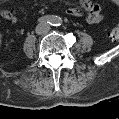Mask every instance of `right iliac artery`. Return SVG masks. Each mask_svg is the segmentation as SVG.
<instances>
[{
    "label": "right iliac artery",
    "instance_id": "right-iliac-artery-1",
    "mask_svg": "<svg viewBox=\"0 0 119 119\" xmlns=\"http://www.w3.org/2000/svg\"><path fill=\"white\" fill-rule=\"evenodd\" d=\"M58 21L59 20L56 16H50V15L43 16L38 19V22L40 23H49L52 25H55Z\"/></svg>",
    "mask_w": 119,
    "mask_h": 119
}]
</instances>
